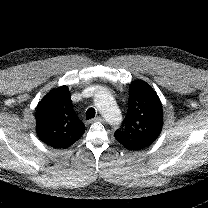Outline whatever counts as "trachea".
Wrapping results in <instances>:
<instances>
[{
	"label": "trachea",
	"instance_id": "obj_1",
	"mask_svg": "<svg viewBox=\"0 0 208 208\" xmlns=\"http://www.w3.org/2000/svg\"><path fill=\"white\" fill-rule=\"evenodd\" d=\"M95 109L94 108H89L87 111H86V118L89 120V119H92L95 117Z\"/></svg>",
	"mask_w": 208,
	"mask_h": 208
}]
</instances>
